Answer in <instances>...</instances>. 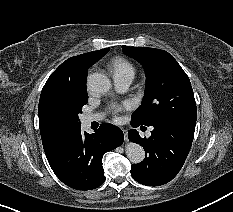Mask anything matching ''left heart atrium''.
Here are the masks:
<instances>
[{
    "instance_id": "1",
    "label": "left heart atrium",
    "mask_w": 233,
    "mask_h": 212,
    "mask_svg": "<svg viewBox=\"0 0 233 212\" xmlns=\"http://www.w3.org/2000/svg\"><path fill=\"white\" fill-rule=\"evenodd\" d=\"M123 109L122 106H114L113 107V112L114 114H117L118 112H120Z\"/></svg>"
}]
</instances>
